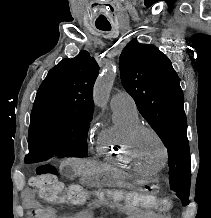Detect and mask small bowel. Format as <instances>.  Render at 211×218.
<instances>
[{
	"label": "small bowel",
	"instance_id": "small-bowel-1",
	"mask_svg": "<svg viewBox=\"0 0 211 218\" xmlns=\"http://www.w3.org/2000/svg\"><path fill=\"white\" fill-rule=\"evenodd\" d=\"M24 204L30 208H36L42 213H52L53 210L49 207H43L36 201V192L33 188H26L24 189L22 193ZM89 205L92 208H98V207H110L113 209H118L121 211H125L128 213H140V210L137 208H133L130 206L123 205L118 202L113 201H107V200H92L89 202ZM146 217H153V215L150 212H147L145 215Z\"/></svg>",
	"mask_w": 211,
	"mask_h": 218
}]
</instances>
